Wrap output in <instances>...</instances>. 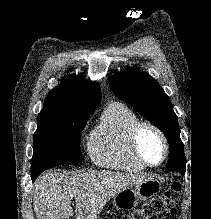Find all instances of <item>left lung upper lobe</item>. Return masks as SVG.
<instances>
[{"label": "left lung upper lobe", "mask_w": 211, "mask_h": 219, "mask_svg": "<svg viewBox=\"0 0 211 219\" xmlns=\"http://www.w3.org/2000/svg\"><path fill=\"white\" fill-rule=\"evenodd\" d=\"M108 81L119 99L133 106L165 134L169 149L178 150L185 162L177 116L169 97L154 78L140 70H129L110 76Z\"/></svg>", "instance_id": "5c2ea615"}]
</instances>
